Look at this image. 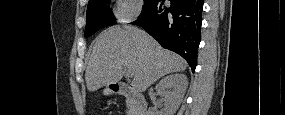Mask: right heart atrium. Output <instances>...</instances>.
Segmentation results:
<instances>
[{"mask_svg":"<svg viewBox=\"0 0 285 115\" xmlns=\"http://www.w3.org/2000/svg\"><path fill=\"white\" fill-rule=\"evenodd\" d=\"M141 8V1L120 0L117 3L116 16L122 22H130L138 16Z\"/></svg>","mask_w":285,"mask_h":115,"instance_id":"obj_1","label":"right heart atrium"}]
</instances>
